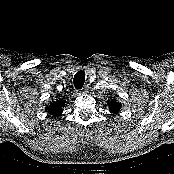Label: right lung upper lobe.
<instances>
[{
  "label": "right lung upper lobe",
  "mask_w": 174,
  "mask_h": 174,
  "mask_svg": "<svg viewBox=\"0 0 174 174\" xmlns=\"http://www.w3.org/2000/svg\"><path fill=\"white\" fill-rule=\"evenodd\" d=\"M65 105V100H59L57 102L50 103L45 107L48 114L52 115L53 117L59 116L63 112V107Z\"/></svg>",
  "instance_id": "1"
}]
</instances>
